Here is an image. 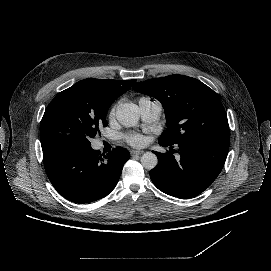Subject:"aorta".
Segmentation results:
<instances>
[{
  "mask_svg": "<svg viewBox=\"0 0 271 271\" xmlns=\"http://www.w3.org/2000/svg\"><path fill=\"white\" fill-rule=\"evenodd\" d=\"M116 119L125 127H133L139 120V107L135 104L124 103L116 108ZM158 164V158L154 153L146 152L141 157V165L144 169L152 170Z\"/></svg>",
  "mask_w": 271,
  "mask_h": 271,
  "instance_id": "obj_1",
  "label": "aorta"
}]
</instances>
